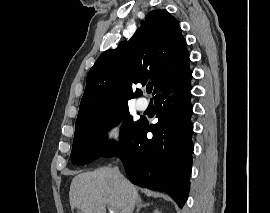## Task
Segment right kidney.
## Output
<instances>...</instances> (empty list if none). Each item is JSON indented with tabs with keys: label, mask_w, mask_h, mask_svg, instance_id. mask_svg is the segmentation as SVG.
<instances>
[{
	"label": "right kidney",
	"mask_w": 270,
	"mask_h": 213,
	"mask_svg": "<svg viewBox=\"0 0 270 213\" xmlns=\"http://www.w3.org/2000/svg\"><path fill=\"white\" fill-rule=\"evenodd\" d=\"M154 213H160L158 210H155Z\"/></svg>",
	"instance_id": "1"
}]
</instances>
